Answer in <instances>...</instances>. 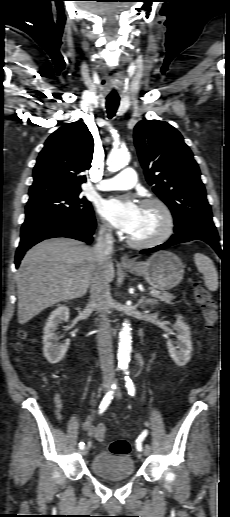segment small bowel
I'll return each mask as SVG.
<instances>
[{
	"instance_id": "small-bowel-1",
	"label": "small bowel",
	"mask_w": 230,
	"mask_h": 517,
	"mask_svg": "<svg viewBox=\"0 0 230 517\" xmlns=\"http://www.w3.org/2000/svg\"><path fill=\"white\" fill-rule=\"evenodd\" d=\"M62 410H63V404L61 403L60 400H58L57 404H56V415H57L58 419H61V417H62ZM82 428L84 431L87 432V435L89 438H97L98 440H100L99 434H100L101 430L104 429V431H105V427L102 424L92 425L91 416L83 423ZM104 434H105V432H104Z\"/></svg>"
}]
</instances>
